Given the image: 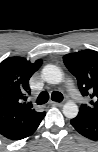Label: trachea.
<instances>
[{
	"label": "trachea",
	"instance_id": "trachea-1",
	"mask_svg": "<svg viewBox=\"0 0 98 152\" xmlns=\"http://www.w3.org/2000/svg\"><path fill=\"white\" fill-rule=\"evenodd\" d=\"M51 99L56 102H61L63 100V95L58 91H53L51 94ZM48 100H49V94L46 91H42L39 94L36 103L45 104Z\"/></svg>",
	"mask_w": 98,
	"mask_h": 152
}]
</instances>
